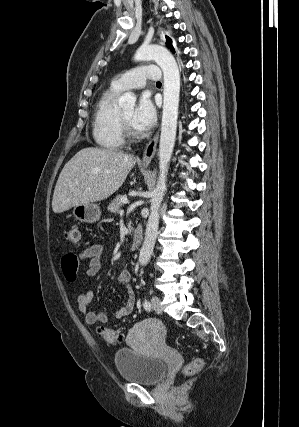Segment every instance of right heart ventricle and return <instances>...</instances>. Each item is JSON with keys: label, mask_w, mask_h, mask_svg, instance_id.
I'll list each match as a JSON object with an SVG mask.
<instances>
[{"label": "right heart ventricle", "mask_w": 299, "mask_h": 427, "mask_svg": "<svg viewBox=\"0 0 299 427\" xmlns=\"http://www.w3.org/2000/svg\"><path fill=\"white\" fill-rule=\"evenodd\" d=\"M119 93L113 85L104 90L93 113V138L99 147L108 151L119 150L124 145V133L116 107Z\"/></svg>", "instance_id": "right-heart-ventricle-1"}]
</instances>
